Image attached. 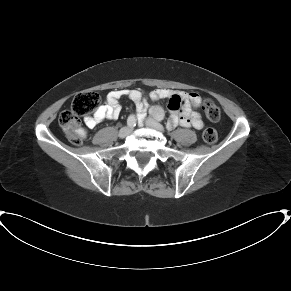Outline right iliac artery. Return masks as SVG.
Wrapping results in <instances>:
<instances>
[{
    "label": "right iliac artery",
    "instance_id": "right-iliac-artery-1",
    "mask_svg": "<svg viewBox=\"0 0 291 291\" xmlns=\"http://www.w3.org/2000/svg\"><path fill=\"white\" fill-rule=\"evenodd\" d=\"M127 125L130 128H133L136 125V117L135 115H130L127 119Z\"/></svg>",
    "mask_w": 291,
    "mask_h": 291
}]
</instances>
